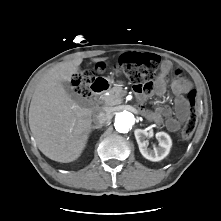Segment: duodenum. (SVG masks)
Here are the masks:
<instances>
[{
  "mask_svg": "<svg viewBox=\"0 0 221 221\" xmlns=\"http://www.w3.org/2000/svg\"><path fill=\"white\" fill-rule=\"evenodd\" d=\"M109 83L105 79L97 78L91 85L90 90L92 96L102 95L108 89Z\"/></svg>",
  "mask_w": 221,
  "mask_h": 221,
  "instance_id": "duodenum-1",
  "label": "duodenum"
}]
</instances>
